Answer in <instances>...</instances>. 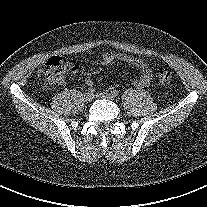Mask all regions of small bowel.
Wrapping results in <instances>:
<instances>
[{"label":"small bowel","instance_id":"1","mask_svg":"<svg viewBox=\"0 0 207 207\" xmlns=\"http://www.w3.org/2000/svg\"><path fill=\"white\" fill-rule=\"evenodd\" d=\"M116 61L125 62L137 68L140 71V75L137 79L134 80V85L136 87H145L149 84L151 80V70L149 65L141 58L130 56L123 53L107 51L104 52L100 58L97 60L98 64L107 65L114 63ZM69 71L76 76H79L83 73V67L80 66L76 60H73L68 65ZM64 77L61 76L57 83H63ZM87 85H92L93 81L90 78L85 79Z\"/></svg>","mask_w":207,"mask_h":207}]
</instances>
